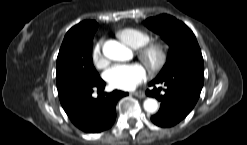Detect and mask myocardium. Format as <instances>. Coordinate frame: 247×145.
I'll list each match as a JSON object with an SVG mask.
<instances>
[{"mask_svg": "<svg viewBox=\"0 0 247 145\" xmlns=\"http://www.w3.org/2000/svg\"><path fill=\"white\" fill-rule=\"evenodd\" d=\"M139 57L152 70H158L162 67L165 61V48L159 43L147 45L141 49L139 52Z\"/></svg>", "mask_w": 247, "mask_h": 145, "instance_id": "obj_1", "label": "myocardium"}]
</instances>
